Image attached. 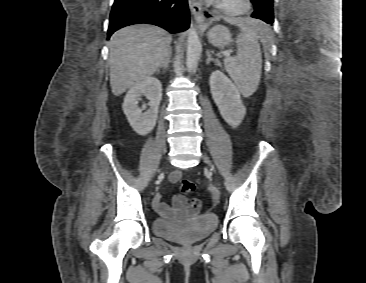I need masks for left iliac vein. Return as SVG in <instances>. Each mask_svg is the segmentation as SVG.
<instances>
[{
  "mask_svg": "<svg viewBox=\"0 0 366 283\" xmlns=\"http://www.w3.org/2000/svg\"><path fill=\"white\" fill-rule=\"evenodd\" d=\"M204 161L205 163H207L208 165H211V161L209 160V158L207 156H204Z\"/></svg>",
  "mask_w": 366,
  "mask_h": 283,
  "instance_id": "1",
  "label": "left iliac vein"
}]
</instances>
